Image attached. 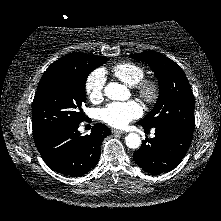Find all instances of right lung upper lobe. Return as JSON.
Here are the masks:
<instances>
[{
	"mask_svg": "<svg viewBox=\"0 0 221 221\" xmlns=\"http://www.w3.org/2000/svg\"><path fill=\"white\" fill-rule=\"evenodd\" d=\"M99 58L101 57L95 56V55L83 54L80 52H73L60 58L59 60H57L50 66H58V65H64V64H80L82 62L95 61V60H98Z\"/></svg>",
	"mask_w": 221,
	"mask_h": 221,
	"instance_id": "cb5924a9",
	"label": "right lung upper lobe"
}]
</instances>
